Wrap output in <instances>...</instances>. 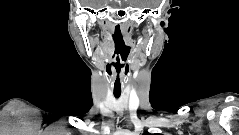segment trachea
I'll return each mask as SVG.
<instances>
[{"instance_id":"trachea-1","label":"trachea","mask_w":239,"mask_h":135,"mask_svg":"<svg viewBox=\"0 0 239 135\" xmlns=\"http://www.w3.org/2000/svg\"><path fill=\"white\" fill-rule=\"evenodd\" d=\"M115 98H119L120 97V93H114Z\"/></svg>"}]
</instances>
